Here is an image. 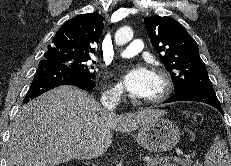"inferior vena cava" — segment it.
I'll return each mask as SVG.
<instances>
[{
    "label": "inferior vena cava",
    "instance_id": "inferior-vena-cava-1",
    "mask_svg": "<svg viewBox=\"0 0 231 166\" xmlns=\"http://www.w3.org/2000/svg\"><path fill=\"white\" fill-rule=\"evenodd\" d=\"M119 100L120 93L115 92L103 95L100 101L105 109L112 112L117 107Z\"/></svg>",
    "mask_w": 231,
    "mask_h": 166
}]
</instances>
